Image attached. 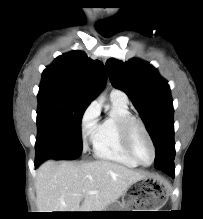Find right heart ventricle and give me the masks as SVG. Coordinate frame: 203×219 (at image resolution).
<instances>
[{"label":"right heart ventricle","instance_id":"right-heart-ventricle-1","mask_svg":"<svg viewBox=\"0 0 203 219\" xmlns=\"http://www.w3.org/2000/svg\"><path fill=\"white\" fill-rule=\"evenodd\" d=\"M113 110L98 126L93 139V152L97 159L115 162L127 167L139 166L127 153L121 136L120 123L132 116L127 104L112 101Z\"/></svg>","mask_w":203,"mask_h":219}]
</instances>
